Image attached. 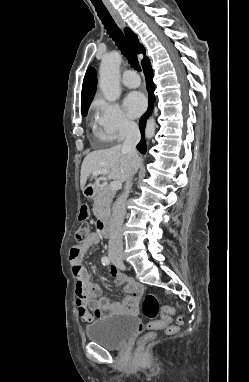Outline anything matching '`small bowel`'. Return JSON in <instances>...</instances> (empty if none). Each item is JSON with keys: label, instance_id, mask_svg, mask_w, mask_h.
<instances>
[{"label": "small bowel", "instance_id": "obj_1", "mask_svg": "<svg viewBox=\"0 0 249 382\" xmlns=\"http://www.w3.org/2000/svg\"><path fill=\"white\" fill-rule=\"evenodd\" d=\"M100 240L101 236L99 233H90L87 240L73 246L69 254L73 273L76 278L75 293L77 296L76 303L78 312L81 320L85 323L113 315L135 313L142 293V286L140 284L128 279L125 275L113 268L110 271L111 277L115 284L124 287L128 293V297L124 303H114L102 295L101 287L91 281L87 269L82 264L85 253L92 246L99 244Z\"/></svg>", "mask_w": 249, "mask_h": 382}]
</instances>
